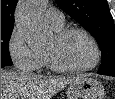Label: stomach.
Listing matches in <instances>:
<instances>
[{"label": "stomach", "mask_w": 115, "mask_h": 99, "mask_svg": "<svg viewBox=\"0 0 115 99\" xmlns=\"http://www.w3.org/2000/svg\"><path fill=\"white\" fill-rule=\"evenodd\" d=\"M103 85L93 78L80 77L69 84L67 99H104Z\"/></svg>", "instance_id": "1"}]
</instances>
